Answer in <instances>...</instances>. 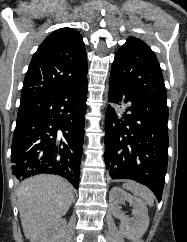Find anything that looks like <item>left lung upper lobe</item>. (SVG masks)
Listing matches in <instances>:
<instances>
[{"instance_id": "5c2ea615", "label": "left lung upper lobe", "mask_w": 187, "mask_h": 242, "mask_svg": "<svg viewBox=\"0 0 187 242\" xmlns=\"http://www.w3.org/2000/svg\"><path fill=\"white\" fill-rule=\"evenodd\" d=\"M111 78L158 102L166 103V89L159 62L142 40L129 37L116 52Z\"/></svg>"}]
</instances>
